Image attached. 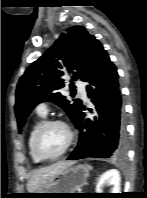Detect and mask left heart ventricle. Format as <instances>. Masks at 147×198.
Segmentation results:
<instances>
[{
  "instance_id": "left-heart-ventricle-1",
  "label": "left heart ventricle",
  "mask_w": 147,
  "mask_h": 198,
  "mask_svg": "<svg viewBox=\"0 0 147 198\" xmlns=\"http://www.w3.org/2000/svg\"><path fill=\"white\" fill-rule=\"evenodd\" d=\"M67 141V132L60 125L49 127L40 139V148L47 155H54L60 152Z\"/></svg>"
}]
</instances>
